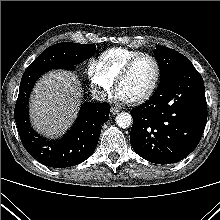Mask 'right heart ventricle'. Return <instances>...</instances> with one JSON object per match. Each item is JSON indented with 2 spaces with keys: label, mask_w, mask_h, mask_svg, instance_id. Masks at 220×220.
I'll list each match as a JSON object with an SVG mask.
<instances>
[{
  "label": "right heart ventricle",
  "mask_w": 220,
  "mask_h": 220,
  "mask_svg": "<svg viewBox=\"0 0 220 220\" xmlns=\"http://www.w3.org/2000/svg\"><path fill=\"white\" fill-rule=\"evenodd\" d=\"M139 51L132 50L123 47L111 48L104 51L99 57V63L103 67L106 74L112 78L116 79L118 73L126 62L132 58L134 55L138 54Z\"/></svg>",
  "instance_id": "1"
}]
</instances>
